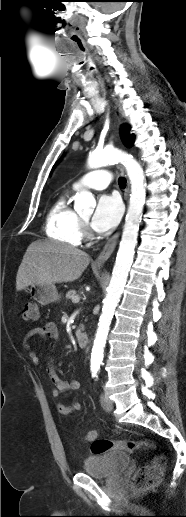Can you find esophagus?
<instances>
[{
	"label": "esophagus",
	"instance_id": "34e87169",
	"mask_svg": "<svg viewBox=\"0 0 186 517\" xmlns=\"http://www.w3.org/2000/svg\"><path fill=\"white\" fill-rule=\"evenodd\" d=\"M129 195V182H127V188L125 191V197L126 200ZM120 236V231H117L105 244L102 251L98 255V257L95 259L94 264L98 266H102L106 263V261L110 258L112 253L114 252L116 245L118 243V239Z\"/></svg>",
	"mask_w": 186,
	"mask_h": 517
}]
</instances>
